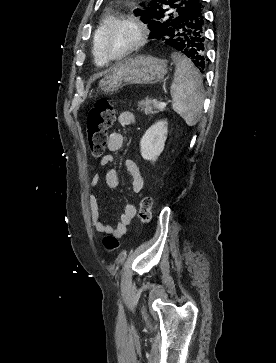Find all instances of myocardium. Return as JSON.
Listing matches in <instances>:
<instances>
[{
  "mask_svg": "<svg viewBox=\"0 0 276 363\" xmlns=\"http://www.w3.org/2000/svg\"><path fill=\"white\" fill-rule=\"evenodd\" d=\"M121 23H125L132 26L135 30L136 36L131 45L128 48H126L122 53L116 56H111L105 50L104 39L105 36L109 33V31H111L115 26ZM146 38H147V26L140 17L133 14L119 15L114 17L101 31L99 35V50L103 59L106 62H117L128 57L129 55L140 49L144 45Z\"/></svg>",
  "mask_w": 276,
  "mask_h": 363,
  "instance_id": "obj_1",
  "label": "myocardium"
}]
</instances>
